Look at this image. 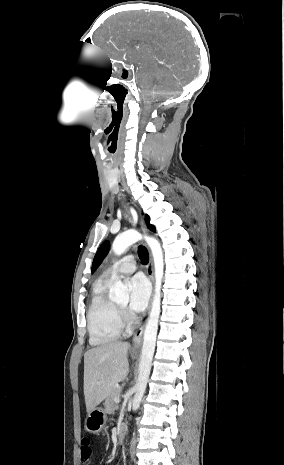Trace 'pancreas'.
Instances as JSON below:
<instances>
[{"instance_id":"1","label":"pancreas","mask_w":284,"mask_h":465,"mask_svg":"<svg viewBox=\"0 0 284 465\" xmlns=\"http://www.w3.org/2000/svg\"><path fill=\"white\" fill-rule=\"evenodd\" d=\"M121 393V389H112V391H110L108 397H106V401L104 403V407H105V413H107V415H112V413H114L117 405L114 401L115 397H118V395H120Z\"/></svg>"}]
</instances>
